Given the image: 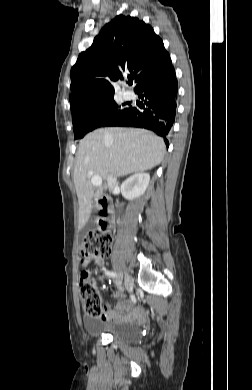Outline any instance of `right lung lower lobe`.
<instances>
[{
  "label": "right lung lower lobe",
  "mask_w": 252,
  "mask_h": 390,
  "mask_svg": "<svg viewBox=\"0 0 252 390\" xmlns=\"http://www.w3.org/2000/svg\"><path fill=\"white\" fill-rule=\"evenodd\" d=\"M178 82L174 70L150 78L142 83L136 92L144 100L143 112L130 106L128 110L107 126L140 127L154 131L164 138L169 146L167 135L173 126L177 110Z\"/></svg>",
  "instance_id": "98d812e1"
}]
</instances>
